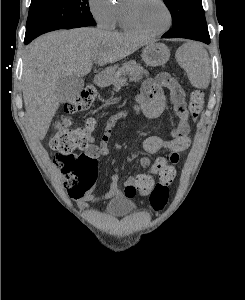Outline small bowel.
<instances>
[{"label":"small bowel","instance_id":"small-bowel-1","mask_svg":"<svg viewBox=\"0 0 245 300\" xmlns=\"http://www.w3.org/2000/svg\"><path fill=\"white\" fill-rule=\"evenodd\" d=\"M169 98L172 109L177 116V126L171 131L169 139L159 136H148L142 142V148L147 154H156L166 150V155L158 157L154 162L144 157L141 164L149 168L150 172L159 176V181L153 183V190H164L170 188V184L176 179V165L179 153L187 150L191 144L190 117L186 107L185 94L179 83L170 74L162 72L154 79H147L143 82L140 92L137 95L136 111L148 118L160 116ZM126 111H120L110 116L106 122L99 144L95 143L93 136L89 137L88 145L84 148V153L88 156L98 158L109 154L108 142L117 122L126 116ZM137 176L129 177L124 188L118 185V175L114 174L109 191L96 195L92 192L85 194L78 202L79 208L84 209L86 202H101L113 197L133 198L136 195L135 181Z\"/></svg>","mask_w":245,"mask_h":300}]
</instances>
